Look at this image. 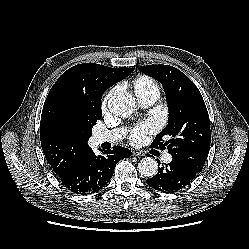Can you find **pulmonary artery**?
<instances>
[{
    "instance_id": "obj_1",
    "label": "pulmonary artery",
    "mask_w": 249,
    "mask_h": 249,
    "mask_svg": "<svg viewBox=\"0 0 249 249\" xmlns=\"http://www.w3.org/2000/svg\"><path fill=\"white\" fill-rule=\"evenodd\" d=\"M159 95L158 94H149L139 99L140 104L143 107H147L152 105L157 99ZM124 129H114L111 131L98 133L94 136V142L96 144H101L104 142H116L120 140L125 135ZM172 156L170 154H165L163 156V161L166 163L171 162Z\"/></svg>"
}]
</instances>
